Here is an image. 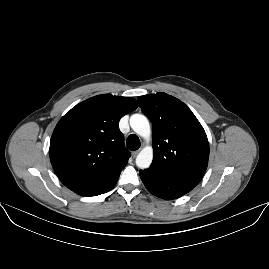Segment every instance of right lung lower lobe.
I'll return each mask as SVG.
<instances>
[{
  "label": "right lung lower lobe",
  "mask_w": 269,
  "mask_h": 269,
  "mask_svg": "<svg viewBox=\"0 0 269 269\" xmlns=\"http://www.w3.org/2000/svg\"><path fill=\"white\" fill-rule=\"evenodd\" d=\"M118 178H119V176H116L112 180H110V181H108V182H106L104 184L77 189L74 192L81 195V196H96V195H100V194H103V193H106V192L110 191L115 186V184L117 183Z\"/></svg>",
  "instance_id": "98d812e1"
}]
</instances>
